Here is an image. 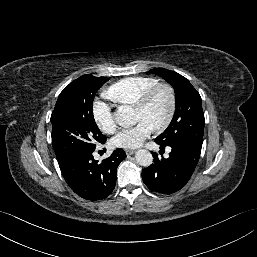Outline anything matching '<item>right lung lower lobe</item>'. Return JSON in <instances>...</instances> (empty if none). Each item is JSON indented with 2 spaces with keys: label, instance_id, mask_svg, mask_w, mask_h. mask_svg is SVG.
Instances as JSON below:
<instances>
[{
  "label": "right lung lower lobe",
  "instance_id": "right-lung-lower-lobe-1",
  "mask_svg": "<svg viewBox=\"0 0 257 257\" xmlns=\"http://www.w3.org/2000/svg\"><path fill=\"white\" fill-rule=\"evenodd\" d=\"M92 153L76 152L58 164L64 179L75 193L84 199L97 201L111 194L116 184L117 167L126 154L123 149L117 148L110 157L98 163Z\"/></svg>",
  "mask_w": 257,
  "mask_h": 257
}]
</instances>
